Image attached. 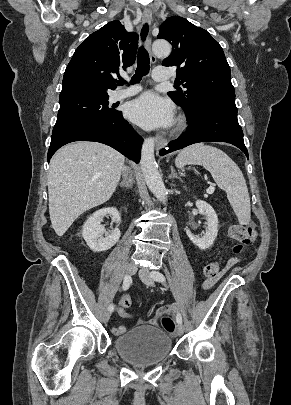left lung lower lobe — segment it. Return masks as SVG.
Wrapping results in <instances>:
<instances>
[{"label":"left lung lower lobe","mask_w":291,"mask_h":405,"mask_svg":"<svg viewBox=\"0 0 291 405\" xmlns=\"http://www.w3.org/2000/svg\"><path fill=\"white\" fill-rule=\"evenodd\" d=\"M185 113L189 132L161 149V156L198 142H227L240 148L248 157L243 131L237 120L235 97L203 98L195 112Z\"/></svg>","instance_id":"0a47b994"}]
</instances>
